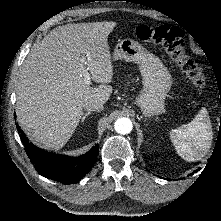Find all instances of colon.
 I'll return each instance as SVG.
<instances>
[{
  "instance_id": "obj_1",
  "label": "colon",
  "mask_w": 221,
  "mask_h": 221,
  "mask_svg": "<svg viewBox=\"0 0 221 221\" xmlns=\"http://www.w3.org/2000/svg\"><path fill=\"white\" fill-rule=\"evenodd\" d=\"M132 32L141 41L162 46L184 73L192 88L197 92L204 90L202 68L187 51L182 32L178 28L170 25H140Z\"/></svg>"
}]
</instances>
